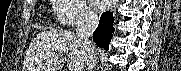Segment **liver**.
Listing matches in <instances>:
<instances>
[{
    "label": "liver",
    "mask_w": 181,
    "mask_h": 71,
    "mask_svg": "<svg viewBox=\"0 0 181 71\" xmlns=\"http://www.w3.org/2000/svg\"><path fill=\"white\" fill-rule=\"evenodd\" d=\"M64 55L68 56L69 71H83L87 54L74 33L66 30L41 32L26 52L22 71H61Z\"/></svg>",
    "instance_id": "1"
}]
</instances>
